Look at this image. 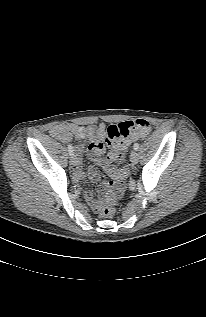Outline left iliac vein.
I'll return each instance as SVG.
<instances>
[{
	"instance_id": "1",
	"label": "left iliac vein",
	"mask_w": 206,
	"mask_h": 317,
	"mask_svg": "<svg viewBox=\"0 0 206 317\" xmlns=\"http://www.w3.org/2000/svg\"><path fill=\"white\" fill-rule=\"evenodd\" d=\"M130 161H131L132 165L137 164V162H138V153L136 151H132L131 152Z\"/></svg>"
}]
</instances>
